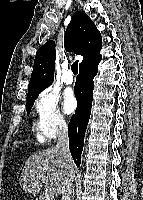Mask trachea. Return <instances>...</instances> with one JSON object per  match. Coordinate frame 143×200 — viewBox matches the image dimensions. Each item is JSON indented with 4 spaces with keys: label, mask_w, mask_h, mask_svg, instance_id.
<instances>
[{
    "label": "trachea",
    "mask_w": 143,
    "mask_h": 200,
    "mask_svg": "<svg viewBox=\"0 0 143 200\" xmlns=\"http://www.w3.org/2000/svg\"><path fill=\"white\" fill-rule=\"evenodd\" d=\"M71 70L72 72L76 75L78 73V61H75L72 65H71Z\"/></svg>",
    "instance_id": "obj_1"
}]
</instances>
